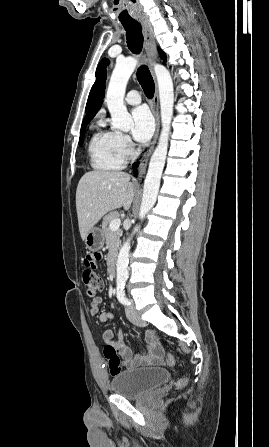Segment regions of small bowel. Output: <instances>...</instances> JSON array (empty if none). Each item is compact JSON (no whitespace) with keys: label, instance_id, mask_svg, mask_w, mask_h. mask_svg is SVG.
I'll list each match as a JSON object with an SVG mask.
<instances>
[{"label":"small bowel","instance_id":"c3829d8e","mask_svg":"<svg viewBox=\"0 0 269 447\" xmlns=\"http://www.w3.org/2000/svg\"><path fill=\"white\" fill-rule=\"evenodd\" d=\"M102 302L101 297L96 296L92 299L91 302V314H96L98 312L99 306ZM99 321L106 322L114 318V314L111 312H102L99 314ZM113 333L112 331H106L103 334V339L106 342L112 343L116 350L121 354L124 366L128 369H132L138 366H150L157 364L162 361L164 358L163 352L159 346V342L157 337L159 334L153 335L152 332L147 331L144 334L145 339H147V348L149 350V354L139 356L135 353V351L127 346L124 342V333L122 329H118L117 338L115 340L112 339Z\"/></svg>","mask_w":269,"mask_h":447}]
</instances>
